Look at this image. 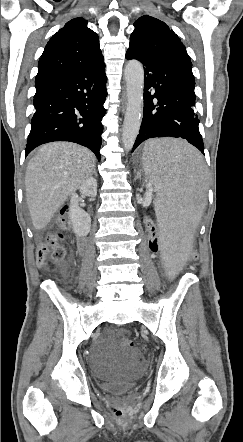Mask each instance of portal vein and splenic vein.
<instances>
[{"label":"portal vein and splenic vein","mask_w":243,"mask_h":442,"mask_svg":"<svg viewBox=\"0 0 243 442\" xmlns=\"http://www.w3.org/2000/svg\"><path fill=\"white\" fill-rule=\"evenodd\" d=\"M148 195L151 196V195H152V192H148Z\"/></svg>","instance_id":"1"}]
</instances>
